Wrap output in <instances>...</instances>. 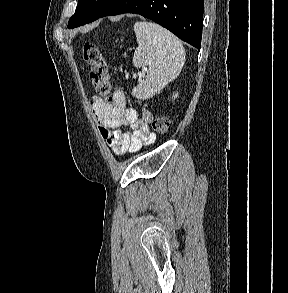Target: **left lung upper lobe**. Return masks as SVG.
I'll use <instances>...</instances> for the list:
<instances>
[{"label": "left lung upper lobe", "instance_id": "1", "mask_svg": "<svg viewBox=\"0 0 288 293\" xmlns=\"http://www.w3.org/2000/svg\"><path fill=\"white\" fill-rule=\"evenodd\" d=\"M79 5L68 22L74 28L98 19L116 0H78Z\"/></svg>", "mask_w": 288, "mask_h": 293}]
</instances>
